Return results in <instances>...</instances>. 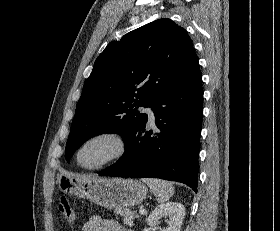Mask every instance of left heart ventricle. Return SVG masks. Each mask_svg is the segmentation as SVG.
Listing matches in <instances>:
<instances>
[{
	"label": "left heart ventricle",
	"instance_id": "b2bd125f",
	"mask_svg": "<svg viewBox=\"0 0 280 231\" xmlns=\"http://www.w3.org/2000/svg\"><path fill=\"white\" fill-rule=\"evenodd\" d=\"M119 149V143L114 137H96L87 142L81 150L80 165L86 169L99 167L112 159Z\"/></svg>",
	"mask_w": 280,
	"mask_h": 231
}]
</instances>
